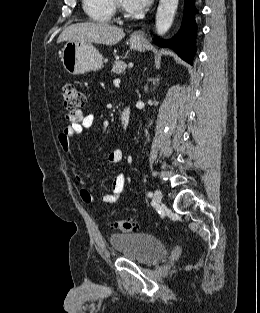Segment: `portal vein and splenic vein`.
Masks as SVG:
<instances>
[{
  "label": "portal vein and splenic vein",
  "mask_w": 260,
  "mask_h": 313,
  "mask_svg": "<svg viewBox=\"0 0 260 313\" xmlns=\"http://www.w3.org/2000/svg\"><path fill=\"white\" fill-rule=\"evenodd\" d=\"M113 83L116 85V84H119L120 83V79H115L114 81H113Z\"/></svg>",
  "instance_id": "1"
}]
</instances>
